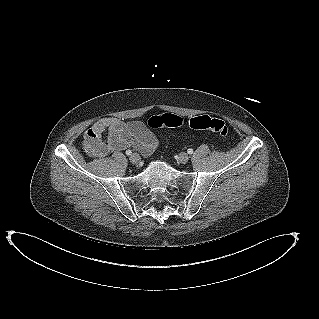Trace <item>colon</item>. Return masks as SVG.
Listing matches in <instances>:
<instances>
[{"mask_svg":"<svg viewBox=\"0 0 319 319\" xmlns=\"http://www.w3.org/2000/svg\"><path fill=\"white\" fill-rule=\"evenodd\" d=\"M147 124L151 129L175 128L183 124V119L172 113H163L150 117ZM188 125L192 129L210 130L222 137L229 134V128L223 120L208 115L193 117L188 121Z\"/></svg>","mask_w":319,"mask_h":319,"instance_id":"1","label":"colon"}]
</instances>
